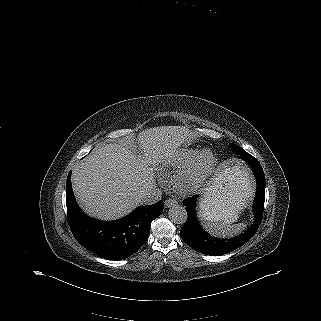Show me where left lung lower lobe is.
<instances>
[{
	"label": "left lung lower lobe",
	"mask_w": 321,
	"mask_h": 321,
	"mask_svg": "<svg viewBox=\"0 0 321 321\" xmlns=\"http://www.w3.org/2000/svg\"><path fill=\"white\" fill-rule=\"evenodd\" d=\"M237 155L249 164L257 181V190L253 205L255 214L254 224L244 234L229 240L211 237L202 229L196 218L195 207L197 196L186 198L183 204L186 206L188 218L181 228L180 234L186 244L200 253L217 256L231 252L248 242L256 233L261 223L265 201V176L263 169L258 160L246 151H241Z\"/></svg>",
	"instance_id": "obj_1"
}]
</instances>
